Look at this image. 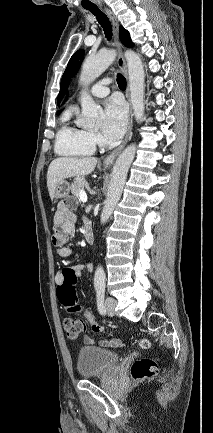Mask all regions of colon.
Returning <instances> with one entry per match:
<instances>
[{
	"mask_svg": "<svg viewBox=\"0 0 213 433\" xmlns=\"http://www.w3.org/2000/svg\"><path fill=\"white\" fill-rule=\"evenodd\" d=\"M63 285L58 288L57 294L60 302L66 308L68 316L63 321V327L70 338H77L85 329L81 319L83 316L92 326L94 332H103L105 327L100 324L94 315L90 312H82L80 305L77 303L75 284L78 276L72 268H64ZM139 344L142 348H150L148 339H140ZM158 371L157 364L150 358H141L135 361L131 367V375L136 380H143L153 377Z\"/></svg>",
	"mask_w": 213,
	"mask_h": 433,
	"instance_id": "colon-1",
	"label": "colon"
}]
</instances>
